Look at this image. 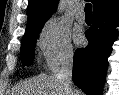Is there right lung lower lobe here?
<instances>
[{
    "label": "right lung lower lobe",
    "mask_w": 119,
    "mask_h": 95,
    "mask_svg": "<svg viewBox=\"0 0 119 95\" xmlns=\"http://www.w3.org/2000/svg\"><path fill=\"white\" fill-rule=\"evenodd\" d=\"M93 16V25L86 32L88 46L75 51L72 79L87 95H102L107 59L118 36L119 3Z\"/></svg>",
    "instance_id": "1"
}]
</instances>
